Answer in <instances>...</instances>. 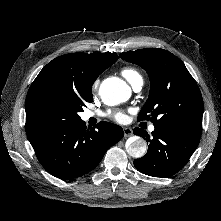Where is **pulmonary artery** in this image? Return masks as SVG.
I'll return each mask as SVG.
<instances>
[{"instance_id": "e3ab8cb5", "label": "pulmonary artery", "mask_w": 221, "mask_h": 221, "mask_svg": "<svg viewBox=\"0 0 221 221\" xmlns=\"http://www.w3.org/2000/svg\"><path fill=\"white\" fill-rule=\"evenodd\" d=\"M142 85H143V80H139V81H137L136 83H134V84L132 85V87H133V89H134L135 91H140L141 88H142ZM91 116H93V113H92V112H87V113H86V117H87V118H89V117H91ZM154 129H155V127H154L153 125L150 126V128H149L150 131H153Z\"/></svg>"}]
</instances>
